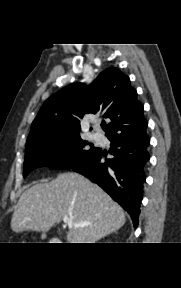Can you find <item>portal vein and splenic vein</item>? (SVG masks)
<instances>
[{
    "mask_svg": "<svg viewBox=\"0 0 181 288\" xmlns=\"http://www.w3.org/2000/svg\"><path fill=\"white\" fill-rule=\"evenodd\" d=\"M63 221L65 224H67L69 227H84V226H88L89 224L88 223H78V224H75L72 222V220L68 217V216H64L63 217Z\"/></svg>",
    "mask_w": 181,
    "mask_h": 288,
    "instance_id": "18ae733b",
    "label": "portal vein and splenic vein"
}]
</instances>
